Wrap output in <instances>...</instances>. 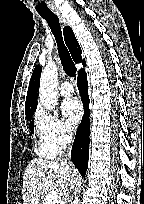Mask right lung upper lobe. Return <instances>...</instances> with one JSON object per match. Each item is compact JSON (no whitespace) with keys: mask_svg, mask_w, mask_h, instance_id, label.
I'll list each match as a JSON object with an SVG mask.
<instances>
[{"mask_svg":"<svg viewBox=\"0 0 144 204\" xmlns=\"http://www.w3.org/2000/svg\"><path fill=\"white\" fill-rule=\"evenodd\" d=\"M64 39L66 42V45L68 46V49L71 53V56L73 60L76 63L82 62V64L85 66V60H82L81 57V48L76 40V37L70 27L64 28ZM41 67L37 65L32 73L27 97H26V103H25V114L26 118L32 117L36 108H37V92L39 87V79L41 74Z\"/></svg>","mask_w":144,"mask_h":204,"instance_id":"obj_1","label":"right lung upper lobe"}]
</instances>
